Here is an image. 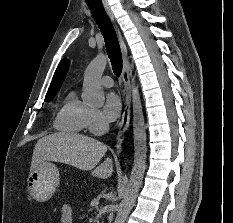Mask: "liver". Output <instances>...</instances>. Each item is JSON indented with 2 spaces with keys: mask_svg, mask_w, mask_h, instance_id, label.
Listing matches in <instances>:
<instances>
[{
  "mask_svg": "<svg viewBox=\"0 0 233 223\" xmlns=\"http://www.w3.org/2000/svg\"><path fill=\"white\" fill-rule=\"evenodd\" d=\"M107 151V145L87 137L80 133H50L38 139L32 155L31 169L36 167L39 161H59V163H68L82 171H90L94 177L107 179L113 175L112 157H106L100 163L103 155Z\"/></svg>",
  "mask_w": 233,
  "mask_h": 223,
  "instance_id": "1",
  "label": "liver"
}]
</instances>
